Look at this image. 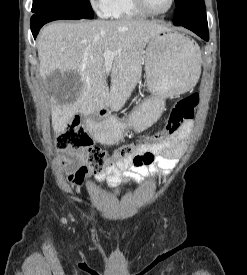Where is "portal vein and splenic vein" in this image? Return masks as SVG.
Listing matches in <instances>:
<instances>
[{"instance_id":"18ae733b","label":"portal vein and splenic vein","mask_w":247,"mask_h":275,"mask_svg":"<svg viewBox=\"0 0 247 275\" xmlns=\"http://www.w3.org/2000/svg\"><path fill=\"white\" fill-rule=\"evenodd\" d=\"M116 54H117L116 52H112L110 50H106L103 53V57H104L105 62H106V70L107 71H110V69H111V61L113 60V58L115 57Z\"/></svg>"}]
</instances>
